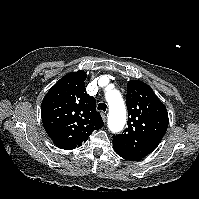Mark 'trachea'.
I'll return each instance as SVG.
<instances>
[{
    "instance_id": "trachea-1",
    "label": "trachea",
    "mask_w": 199,
    "mask_h": 199,
    "mask_svg": "<svg viewBox=\"0 0 199 199\" xmlns=\"http://www.w3.org/2000/svg\"><path fill=\"white\" fill-rule=\"evenodd\" d=\"M107 106L105 103H99L98 104V110L106 111Z\"/></svg>"
}]
</instances>
